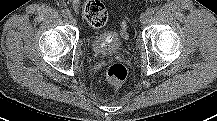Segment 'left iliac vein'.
Here are the masks:
<instances>
[{"mask_svg":"<svg viewBox=\"0 0 217 121\" xmlns=\"http://www.w3.org/2000/svg\"><path fill=\"white\" fill-rule=\"evenodd\" d=\"M149 17H150V15L148 14L147 11L144 12V13H142L141 16H140V22H141L142 24L147 23L148 20H149Z\"/></svg>","mask_w":217,"mask_h":121,"instance_id":"obj_1","label":"left iliac vein"}]
</instances>
